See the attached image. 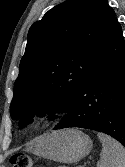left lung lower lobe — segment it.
Wrapping results in <instances>:
<instances>
[{"instance_id":"0a47b994","label":"left lung lower lobe","mask_w":125,"mask_h":167,"mask_svg":"<svg viewBox=\"0 0 125 167\" xmlns=\"http://www.w3.org/2000/svg\"><path fill=\"white\" fill-rule=\"evenodd\" d=\"M56 129L80 127L106 133L125 146V42L117 18Z\"/></svg>"}]
</instances>
